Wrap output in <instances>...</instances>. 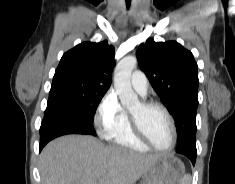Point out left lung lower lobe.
Instances as JSON below:
<instances>
[{"label":"left lung lower lobe","instance_id":"1","mask_svg":"<svg viewBox=\"0 0 235 184\" xmlns=\"http://www.w3.org/2000/svg\"><path fill=\"white\" fill-rule=\"evenodd\" d=\"M176 152L187 156L191 160L193 165H195L197 151H192V150H176Z\"/></svg>","mask_w":235,"mask_h":184}]
</instances>
